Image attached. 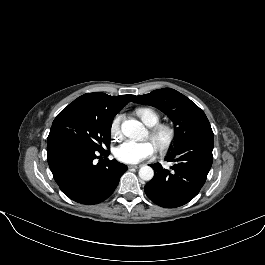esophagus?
Listing matches in <instances>:
<instances>
[{
  "label": "esophagus",
  "mask_w": 265,
  "mask_h": 265,
  "mask_svg": "<svg viewBox=\"0 0 265 265\" xmlns=\"http://www.w3.org/2000/svg\"><path fill=\"white\" fill-rule=\"evenodd\" d=\"M141 165H129V168H139Z\"/></svg>",
  "instance_id": "obj_1"
}]
</instances>
